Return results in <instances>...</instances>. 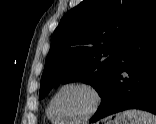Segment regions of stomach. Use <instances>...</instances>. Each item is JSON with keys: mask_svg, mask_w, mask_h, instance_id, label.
<instances>
[{"mask_svg": "<svg viewBox=\"0 0 156 124\" xmlns=\"http://www.w3.org/2000/svg\"><path fill=\"white\" fill-rule=\"evenodd\" d=\"M106 124H131L129 120L125 119L121 114L116 115L115 119L107 121Z\"/></svg>", "mask_w": 156, "mask_h": 124, "instance_id": "stomach-1", "label": "stomach"}]
</instances>
